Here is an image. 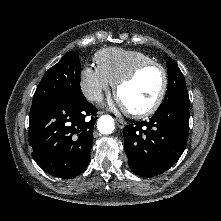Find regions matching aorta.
<instances>
[{
    "label": "aorta",
    "mask_w": 221,
    "mask_h": 221,
    "mask_svg": "<svg viewBox=\"0 0 221 221\" xmlns=\"http://www.w3.org/2000/svg\"><path fill=\"white\" fill-rule=\"evenodd\" d=\"M97 128L102 134H111L114 131V119L109 115H103L98 119Z\"/></svg>",
    "instance_id": "obj_1"
}]
</instances>
